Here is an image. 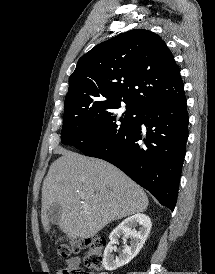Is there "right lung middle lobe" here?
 Listing matches in <instances>:
<instances>
[{
  "label": "right lung middle lobe",
  "instance_id": "1",
  "mask_svg": "<svg viewBox=\"0 0 215 274\" xmlns=\"http://www.w3.org/2000/svg\"><path fill=\"white\" fill-rule=\"evenodd\" d=\"M124 103L125 112L121 101L65 102L61 142L85 152L123 133L136 122L140 111Z\"/></svg>",
  "mask_w": 215,
  "mask_h": 274
}]
</instances>
